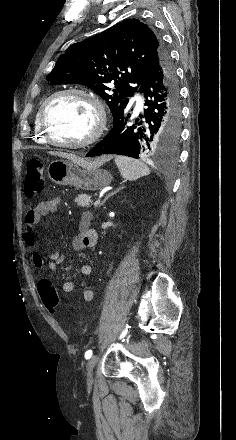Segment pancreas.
I'll return each mask as SVG.
<instances>
[{
    "label": "pancreas",
    "instance_id": "obj_1",
    "mask_svg": "<svg viewBox=\"0 0 236 440\" xmlns=\"http://www.w3.org/2000/svg\"><path fill=\"white\" fill-rule=\"evenodd\" d=\"M75 202L80 207L89 208L93 203V200L91 199V195L80 194L76 197Z\"/></svg>",
    "mask_w": 236,
    "mask_h": 440
}]
</instances>
